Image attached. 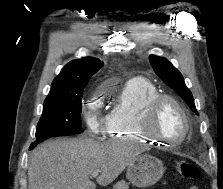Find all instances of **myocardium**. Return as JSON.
Segmentation results:
<instances>
[{"instance_id":"1","label":"myocardium","mask_w":223,"mask_h":189,"mask_svg":"<svg viewBox=\"0 0 223 189\" xmlns=\"http://www.w3.org/2000/svg\"><path fill=\"white\" fill-rule=\"evenodd\" d=\"M164 102H170L178 108L185 122L184 134L177 141H168L160 136L155 130V122L158 111ZM139 128L141 132L149 139L166 144L168 147H177L188 139L192 129L190 115L185 106L174 96L169 94H157L150 99L141 114L139 115Z\"/></svg>"}]
</instances>
